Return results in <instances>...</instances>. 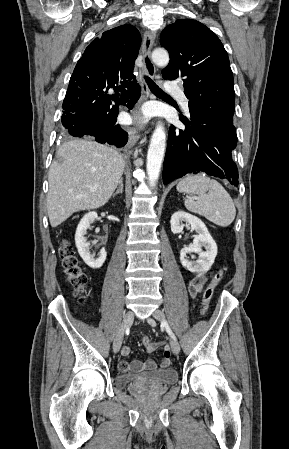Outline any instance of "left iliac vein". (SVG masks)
<instances>
[{
	"instance_id": "4c4485c4",
	"label": "left iliac vein",
	"mask_w": 289,
	"mask_h": 449,
	"mask_svg": "<svg viewBox=\"0 0 289 449\" xmlns=\"http://www.w3.org/2000/svg\"><path fill=\"white\" fill-rule=\"evenodd\" d=\"M153 318L158 321H163L165 318V315L161 310L156 309L153 312L152 317L147 319L148 323L151 326H155V321ZM170 346H171V350L174 354H178L180 352V345H179L178 341L176 340V338H174V337L170 338Z\"/></svg>"
}]
</instances>
